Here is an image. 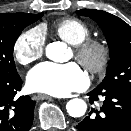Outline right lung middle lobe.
Returning <instances> with one entry per match:
<instances>
[{"label":"right lung middle lobe","mask_w":131,"mask_h":131,"mask_svg":"<svg viewBox=\"0 0 131 131\" xmlns=\"http://www.w3.org/2000/svg\"><path fill=\"white\" fill-rule=\"evenodd\" d=\"M43 16L28 13L0 14V75L17 73L13 58L14 44L22 30Z\"/></svg>","instance_id":"obj_1"}]
</instances>
